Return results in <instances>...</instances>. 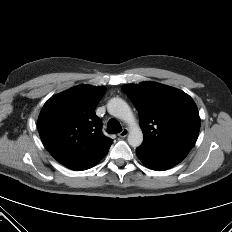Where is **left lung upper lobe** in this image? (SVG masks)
Masks as SVG:
<instances>
[{
  "label": "left lung upper lobe",
  "instance_id": "5c2ea615",
  "mask_svg": "<svg viewBox=\"0 0 232 232\" xmlns=\"http://www.w3.org/2000/svg\"><path fill=\"white\" fill-rule=\"evenodd\" d=\"M122 90L139 113L144 140L138 149L150 152L192 149L199 134L200 117L189 95L152 82L124 85Z\"/></svg>",
  "mask_w": 232,
  "mask_h": 232
}]
</instances>
